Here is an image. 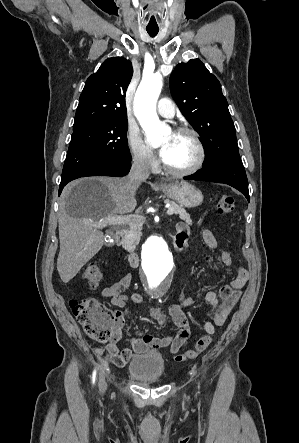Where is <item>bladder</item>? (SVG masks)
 I'll return each mask as SVG.
<instances>
[{
    "instance_id": "obj_1",
    "label": "bladder",
    "mask_w": 299,
    "mask_h": 443,
    "mask_svg": "<svg viewBox=\"0 0 299 443\" xmlns=\"http://www.w3.org/2000/svg\"><path fill=\"white\" fill-rule=\"evenodd\" d=\"M165 362L157 351H148L131 358L127 371L131 378L142 385H153L161 381Z\"/></svg>"
}]
</instances>
